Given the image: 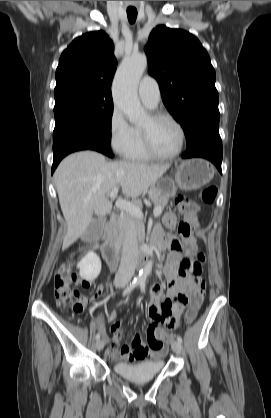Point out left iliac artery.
<instances>
[{
  "mask_svg": "<svg viewBox=\"0 0 271 418\" xmlns=\"http://www.w3.org/2000/svg\"><path fill=\"white\" fill-rule=\"evenodd\" d=\"M139 286H140L141 291H142L143 293H145V287H146V285H145V280H141V281H140V283H139ZM177 341H178L179 343H182V342H183V340H182V338H181L180 336H177Z\"/></svg>",
  "mask_w": 271,
  "mask_h": 418,
  "instance_id": "44dca946",
  "label": "left iliac artery"
}]
</instances>
